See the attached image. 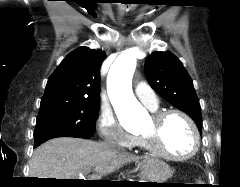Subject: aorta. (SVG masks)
<instances>
[{
  "instance_id": "762f6f07",
  "label": "aorta",
  "mask_w": 240,
  "mask_h": 187,
  "mask_svg": "<svg viewBox=\"0 0 240 187\" xmlns=\"http://www.w3.org/2000/svg\"><path fill=\"white\" fill-rule=\"evenodd\" d=\"M136 55L135 49L123 52L114 61L107 76V92L120 120L124 115L134 121H139L147 116L146 110L137 101L132 91Z\"/></svg>"
}]
</instances>
